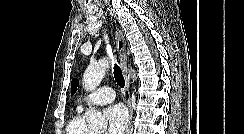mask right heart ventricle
<instances>
[{"instance_id": "1", "label": "right heart ventricle", "mask_w": 244, "mask_h": 134, "mask_svg": "<svg viewBox=\"0 0 244 134\" xmlns=\"http://www.w3.org/2000/svg\"><path fill=\"white\" fill-rule=\"evenodd\" d=\"M65 134H92L86 127L80 111H77L68 121Z\"/></svg>"}]
</instances>
